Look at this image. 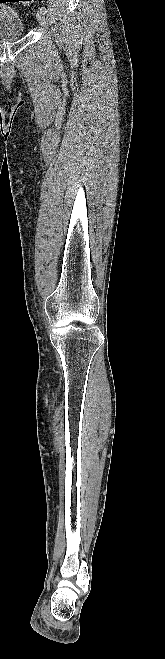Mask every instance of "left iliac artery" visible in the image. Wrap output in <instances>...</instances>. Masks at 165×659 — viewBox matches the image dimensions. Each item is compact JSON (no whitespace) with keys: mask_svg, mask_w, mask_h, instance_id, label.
<instances>
[{"mask_svg":"<svg viewBox=\"0 0 165 659\" xmlns=\"http://www.w3.org/2000/svg\"><path fill=\"white\" fill-rule=\"evenodd\" d=\"M40 10H41L42 12H44L45 14H46V12H47V10H46V8H45L44 6H41V7H40Z\"/></svg>","mask_w":165,"mask_h":659,"instance_id":"44dca946","label":"left iliac artery"}]
</instances>
